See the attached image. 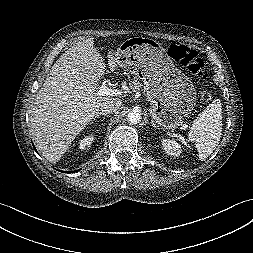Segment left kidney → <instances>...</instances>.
Returning <instances> with one entry per match:
<instances>
[{
    "label": "left kidney",
    "mask_w": 253,
    "mask_h": 253,
    "mask_svg": "<svg viewBox=\"0 0 253 253\" xmlns=\"http://www.w3.org/2000/svg\"><path fill=\"white\" fill-rule=\"evenodd\" d=\"M162 147L168 155L179 156L182 152L181 146L174 139H162Z\"/></svg>",
    "instance_id": "1"
}]
</instances>
